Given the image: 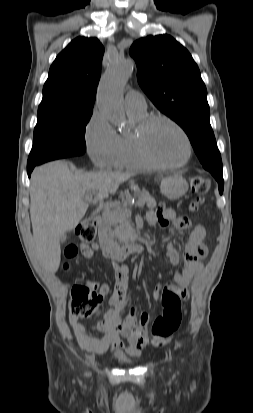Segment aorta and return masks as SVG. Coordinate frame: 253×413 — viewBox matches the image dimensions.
<instances>
[{
    "mask_svg": "<svg viewBox=\"0 0 253 413\" xmlns=\"http://www.w3.org/2000/svg\"><path fill=\"white\" fill-rule=\"evenodd\" d=\"M133 65L128 61H117L103 75L97 93V106L101 113L118 126L126 123L123 109V90L131 76Z\"/></svg>",
    "mask_w": 253,
    "mask_h": 413,
    "instance_id": "aorta-1",
    "label": "aorta"
}]
</instances>
